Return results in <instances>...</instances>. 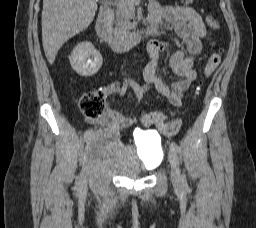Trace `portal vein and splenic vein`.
<instances>
[{
  "mask_svg": "<svg viewBox=\"0 0 256 228\" xmlns=\"http://www.w3.org/2000/svg\"><path fill=\"white\" fill-rule=\"evenodd\" d=\"M120 1H125V2H133L135 4H139L140 3V0H120Z\"/></svg>",
  "mask_w": 256,
  "mask_h": 228,
  "instance_id": "18ae733b",
  "label": "portal vein and splenic vein"
}]
</instances>
